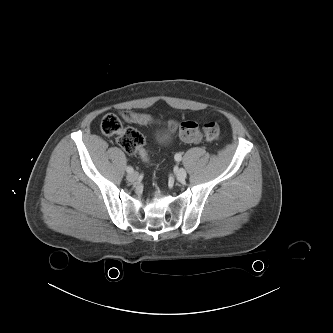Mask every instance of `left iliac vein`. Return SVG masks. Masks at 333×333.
Segmentation results:
<instances>
[{
  "label": "left iliac vein",
  "mask_w": 333,
  "mask_h": 333,
  "mask_svg": "<svg viewBox=\"0 0 333 333\" xmlns=\"http://www.w3.org/2000/svg\"><path fill=\"white\" fill-rule=\"evenodd\" d=\"M186 176H187V173H186L185 169L180 168L176 171V179L179 182H182L183 180H185Z\"/></svg>",
  "instance_id": "left-iliac-vein-1"
}]
</instances>
